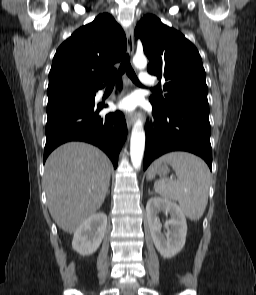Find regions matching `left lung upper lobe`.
<instances>
[{
    "label": "left lung upper lobe",
    "mask_w": 256,
    "mask_h": 295,
    "mask_svg": "<svg viewBox=\"0 0 256 295\" xmlns=\"http://www.w3.org/2000/svg\"><path fill=\"white\" fill-rule=\"evenodd\" d=\"M135 37L149 59L148 72L165 79L167 94L151 96L150 102L163 111L185 107L209 112L205 70L196 47L150 14L137 24Z\"/></svg>",
    "instance_id": "obj_1"
}]
</instances>
